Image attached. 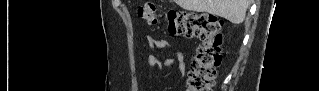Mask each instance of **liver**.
Segmentation results:
<instances>
[{
  "label": "liver",
  "mask_w": 319,
  "mask_h": 91,
  "mask_svg": "<svg viewBox=\"0 0 319 91\" xmlns=\"http://www.w3.org/2000/svg\"><path fill=\"white\" fill-rule=\"evenodd\" d=\"M183 9L207 12L238 24L245 19L250 0H175Z\"/></svg>",
  "instance_id": "6515ba94"
}]
</instances>
